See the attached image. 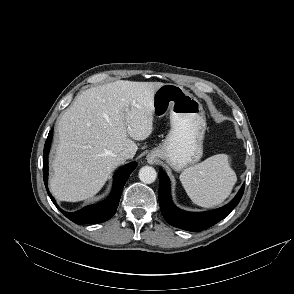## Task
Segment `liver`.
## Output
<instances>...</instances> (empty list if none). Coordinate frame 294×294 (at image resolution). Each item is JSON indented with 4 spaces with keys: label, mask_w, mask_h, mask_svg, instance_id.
<instances>
[{
    "label": "liver",
    "mask_w": 294,
    "mask_h": 294,
    "mask_svg": "<svg viewBox=\"0 0 294 294\" xmlns=\"http://www.w3.org/2000/svg\"><path fill=\"white\" fill-rule=\"evenodd\" d=\"M161 82L119 80L80 94L57 121L58 143L50 190L60 201L93 197L110 174L135 155L134 140L153 131V95Z\"/></svg>",
    "instance_id": "liver-1"
}]
</instances>
